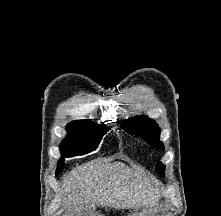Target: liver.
Segmentation results:
<instances>
[{
	"label": "liver",
	"mask_w": 221,
	"mask_h": 216,
	"mask_svg": "<svg viewBox=\"0 0 221 216\" xmlns=\"http://www.w3.org/2000/svg\"><path fill=\"white\" fill-rule=\"evenodd\" d=\"M154 183L123 163L93 160L65 175L61 192L69 209L89 216L94 204L115 209L154 204Z\"/></svg>",
	"instance_id": "6515ba94"
}]
</instances>
